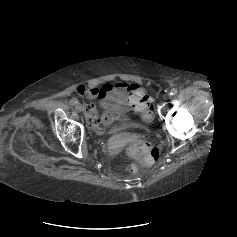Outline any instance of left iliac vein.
<instances>
[{
  "label": "left iliac vein",
  "mask_w": 237,
  "mask_h": 237,
  "mask_svg": "<svg viewBox=\"0 0 237 237\" xmlns=\"http://www.w3.org/2000/svg\"><path fill=\"white\" fill-rule=\"evenodd\" d=\"M168 97H170V94H167V95L165 96V98H168Z\"/></svg>",
  "instance_id": "obj_1"
}]
</instances>
